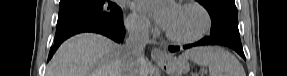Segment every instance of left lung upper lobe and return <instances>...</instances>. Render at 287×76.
Returning a JSON list of instances; mask_svg holds the SVG:
<instances>
[{
  "instance_id": "5c2ea615",
  "label": "left lung upper lobe",
  "mask_w": 287,
  "mask_h": 76,
  "mask_svg": "<svg viewBox=\"0 0 287 76\" xmlns=\"http://www.w3.org/2000/svg\"><path fill=\"white\" fill-rule=\"evenodd\" d=\"M212 19L210 34L229 43H241L238 30L237 8L234 0H197Z\"/></svg>"
}]
</instances>
